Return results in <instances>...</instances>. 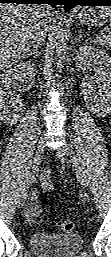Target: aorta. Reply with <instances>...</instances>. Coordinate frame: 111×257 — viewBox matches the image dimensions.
<instances>
[{
  "label": "aorta",
  "instance_id": "762f6f07",
  "mask_svg": "<svg viewBox=\"0 0 111 257\" xmlns=\"http://www.w3.org/2000/svg\"><path fill=\"white\" fill-rule=\"evenodd\" d=\"M60 25H61V28H60L59 32L57 33L58 47L56 50V60H57V65L59 68H61L62 63L66 57V49H67V46H66L67 36H66L64 26H63L64 18H62L60 20ZM59 72H61V69Z\"/></svg>",
  "mask_w": 111,
  "mask_h": 257
}]
</instances>
